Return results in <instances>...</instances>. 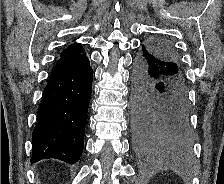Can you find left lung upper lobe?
<instances>
[{
  "mask_svg": "<svg viewBox=\"0 0 224 184\" xmlns=\"http://www.w3.org/2000/svg\"><path fill=\"white\" fill-rule=\"evenodd\" d=\"M146 47L156 58L174 63L180 67L179 56L171 43L164 40H153Z\"/></svg>",
  "mask_w": 224,
  "mask_h": 184,
  "instance_id": "1",
  "label": "left lung upper lobe"
}]
</instances>
